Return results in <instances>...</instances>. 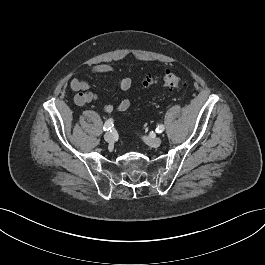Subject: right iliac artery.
Wrapping results in <instances>:
<instances>
[{
	"label": "right iliac artery",
	"mask_w": 265,
	"mask_h": 265,
	"mask_svg": "<svg viewBox=\"0 0 265 265\" xmlns=\"http://www.w3.org/2000/svg\"><path fill=\"white\" fill-rule=\"evenodd\" d=\"M113 119H108L105 124H104V127H103V130L104 131H109L111 130V128L113 127Z\"/></svg>",
	"instance_id": "obj_1"
}]
</instances>
